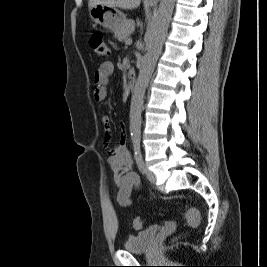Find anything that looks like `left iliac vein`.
Wrapping results in <instances>:
<instances>
[{"label": "left iliac vein", "mask_w": 267, "mask_h": 267, "mask_svg": "<svg viewBox=\"0 0 267 267\" xmlns=\"http://www.w3.org/2000/svg\"><path fill=\"white\" fill-rule=\"evenodd\" d=\"M144 173H145L147 179H148L151 183H155V181H156V176H155V174H154L152 171L148 170L147 167H146L145 165H144Z\"/></svg>", "instance_id": "4c4485c4"}]
</instances>
